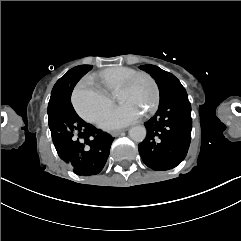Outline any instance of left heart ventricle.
<instances>
[{"label": "left heart ventricle", "mask_w": 241, "mask_h": 241, "mask_svg": "<svg viewBox=\"0 0 241 241\" xmlns=\"http://www.w3.org/2000/svg\"><path fill=\"white\" fill-rule=\"evenodd\" d=\"M140 79V76L131 79L132 84L126 88L122 103L134 111L144 112L154 104L157 96V86L149 75H144L143 81Z\"/></svg>", "instance_id": "1"}]
</instances>
